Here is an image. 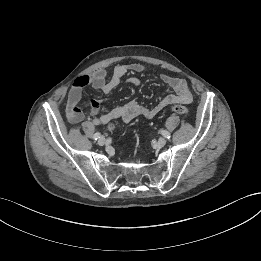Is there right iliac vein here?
<instances>
[{"instance_id":"1","label":"right iliac vein","mask_w":261,"mask_h":261,"mask_svg":"<svg viewBox=\"0 0 261 261\" xmlns=\"http://www.w3.org/2000/svg\"><path fill=\"white\" fill-rule=\"evenodd\" d=\"M105 142H106V140H105L104 137H100L99 140H98V144H99L100 146H103V145L105 144Z\"/></svg>"}]
</instances>
